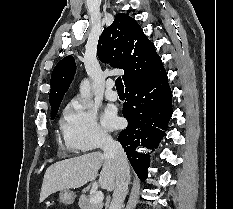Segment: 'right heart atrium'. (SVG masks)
I'll return each mask as SVG.
<instances>
[{
    "instance_id": "1",
    "label": "right heart atrium",
    "mask_w": 233,
    "mask_h": 209,
    "mask_svg": "<svg viewBox=\"0 0 233 209\" xmlns=\"http://www.w3.org/2000/svg\"><path fill=\"white\" fill-rule=\"evenodd\" d=\"M62 131L67 146L76 151L93 150L111 141L98 122L96 109L79 99H73L68 105Z\"/></svg>"
}]
</instances>
